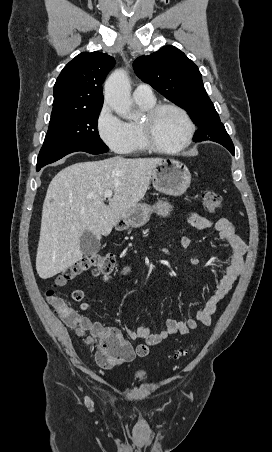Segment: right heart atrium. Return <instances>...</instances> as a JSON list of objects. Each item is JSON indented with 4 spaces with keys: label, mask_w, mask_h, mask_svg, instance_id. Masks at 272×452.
I'll list each match as a JSON object with an SVG mask.
<instances>
[{
    "label": "right heart atrium",
    "mask_w": 272,
    "mask_h": 452,
    "mask_svg": "<svg viewBox=\"0 0 272 452\" xmlns=\"http://www.w3.org/2000/svg\"><path fill=\"white\" fill-rule=\"evenodd\" d=\"M95 128L100 140L109 149L124 153L129 139L127 125L114 115L107 103L102 105L96 116Z\"/></svg>",
    "instance_id": "right-heart-atrium-1"
}]
</instances>
